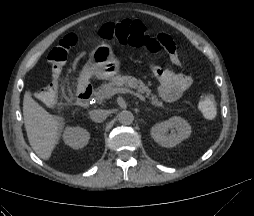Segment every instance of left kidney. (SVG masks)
I'll list each match as a JSON object with an SVG mask.
<instances>
[{"label": "left kidney", "instance_id": "obj_1", "mask_svg": "<svg viewBox=\"0 0 254 216\" xmlns=\"http://www.w3.org/2000/svg\"><path fill=\"white\" fill-rule=\"evenodd\" d=\"M171 131L168 133V131ZM191 135V126L179 116L155 124L151 129V136L155 142L163 147H174Z\"/></svg>", "mask_w": 254, "mask_h": 216}]
</instances>
